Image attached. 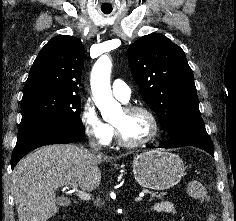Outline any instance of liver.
<instances>
[{"label":"liver","mask_w":236,"mask_h":221,"mask_svg":"<svg viewBox=\"0 0 236 221\" xmlns=\"http://www.w3.org/2000/svg\"><path fill=\"white\" fill-rule=\"evenodd\" d=\"M112 158L76 145H49L28 154L12 174L13 196L19 221H47L59 208L56 191L78 183L83 191L101 182L98 167Z\"/></svg>","instance_id":"1"}]
</instances>
